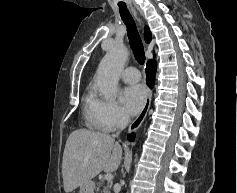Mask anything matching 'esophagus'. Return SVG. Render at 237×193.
<instances>
[{
	"label": "esophagus",
	"mask_w": 237,
	"mask_h": 193,
	"mask_svg": "<svg viewBox=\"0 0 237 193\" xmlns=\"http://www.w3.org/2000/svg\"><path fill=\"white\" fill-rule=\"evenodd\" d=\"M131 10H132V13L134 14L135 18L137 19V21L140 24V19L137 16L136 10L134 8H131ZM151 98H152V91H151V89H148L144 106H143L142 110L140 111V113L138 114V116L136 117V119L130 124V126L128 128L129 133L135 132L142 125L144 119L146 118L148 110L150 108Z\"/></svg>",
	"instance_id": "obj_1"
}]
</instances>
